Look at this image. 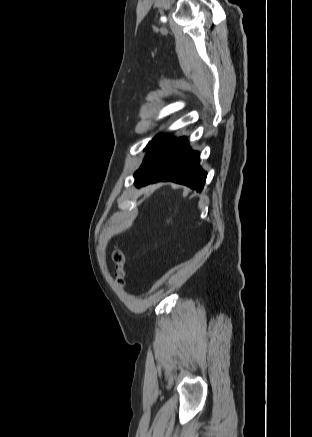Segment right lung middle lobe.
Segmentation results:
<instances>
[{
    "mask_svg": "<svg viewBox=\"0 0 312 437\" xmlns=\"http://www.w3.org/2000/svg\"><path fill=\"white\" fill-rule=\"evenodd\" d=\"M175 139L173 137H166V136H156L146 147V150L152 151L154 149L161 148Z\"/></svg>",
    "mask_w": 312,
    "mask_h": 437,
    "instance_id": "1",
    "label": "right lung middle lobe"
}]
</instances>
